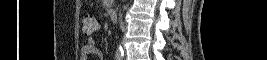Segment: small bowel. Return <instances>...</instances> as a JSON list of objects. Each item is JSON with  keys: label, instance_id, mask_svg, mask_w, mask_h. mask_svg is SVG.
I'll list each match as a JSON object with an SVG mask.
<instances>
[{"label": "small bowel", "instance_id": "c3829d8e", "mask_svg": "<svg viewBox=\"0 0 267 60\" xmlns=\"http://www.w3.org/2000/svg\"><path fill=\"white\" fill-rule=\"evenodd\" d=\"M83 53L85 55H87V56L88 55H95V56H97L99 58L102 56V51L99 48L96 47L95 41H94L93 38H89L86 41V43H85V45L83 47Z\"/></svg>", "mask_w": 267, "mask_h": 60}]
</instances>
